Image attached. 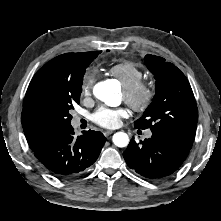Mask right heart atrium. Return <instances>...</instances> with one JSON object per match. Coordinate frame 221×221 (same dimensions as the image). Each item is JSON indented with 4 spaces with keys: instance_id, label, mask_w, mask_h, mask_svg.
Listing matches in <instances>:
<instances>
[{
    "instance_id": "1",
    "label": "right heart atrium",
    "mask_w": 221,
    "mask_h": 221,
    "mask_svg": "<svg viewBox=\"0 0 221 221\" xmlns=\"http://www.w3.org/2000/svg\"><path fill=\"white\" fill-rule=\"evenodd\" d=\"M95 80V74L91 71L85 73L82 82H81V95L88 97L91 94L92 86Z\"/></svg>"
}]
</instances>
